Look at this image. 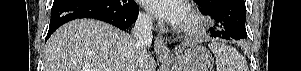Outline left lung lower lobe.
<instances>
[{"label":"left lung lower lobe","instance_id":"left-lung-lower-lobe-1","mask_svg":"<svg viewBox=\"0 0 301 71\" xmlns=\"http://www.w3.org/2000/svg\"><path fill=\"white\" fill-rule=\"evenodd\" d=\"M201 9L215 20V26L209 29L211 37L234 40L247 38L244 0H212Z\"/></svg>","mask_w":301,"mask_h":71}]
</instances>
